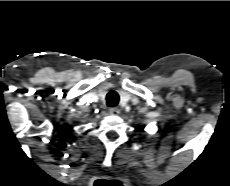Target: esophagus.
Masks as SVG:
<instances>
[{"mask_svg":"<svg viewBox=\"0 0 230 186\" xmlns=\"http://www.w3.org/2000/svg\"><path fill=\"white\" fill-rule=\"evenodd\" d=\"M109 112L112 114V115H119L120 114V109L118 107H111L109 109Z\"/></svg>","mask_w":230,"mask_h":186,"instance_id":"34e87169","label":"esophagus"}]
</instances>
